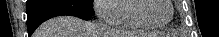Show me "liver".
I'll return each mask as SVG.
<instances>
[{
    "instance_id": "obj_1",
    "label": "liver",
    "mask_w": 219,
    "mask_h": 37,
    "mask_svg": "<svg viewBox=\"0 0 219 37\" xmlns=\"http://www.w3.org/2000/svg\"><path fill=\"white\" fill-rule=\"evenodd\" d=\"M94 23L72 16H59L41 24L33 37H95ZM108 37H128L127 33H111Z\"/></svg>"
}]
</instances>
